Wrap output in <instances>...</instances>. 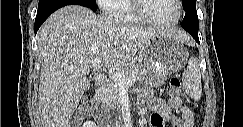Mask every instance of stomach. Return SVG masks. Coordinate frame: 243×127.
<instances>
[{
	"instance_id": "obj_1",
	"label": "stomach",
	"mask_w": 243,
	"mask_h": 127,
	"mask_svg": "<svg viewBox=\"0 0 243 127\" xmlns=\"http://www.w3.org/2000/svg\"><path fill=\"white\" fill-rule=\"evenodd\" d=\"M187 60L188 51L184 45L166 35L152 37L138 55L144 79L155 87L161 86L168 75L178 72Z\"/></svg>"
}]
</instances>
